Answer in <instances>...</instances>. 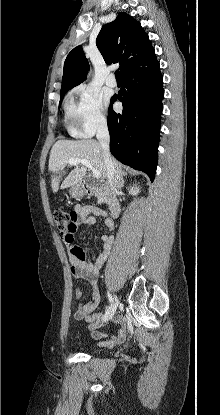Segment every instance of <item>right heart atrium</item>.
Wrapping results in <instances>:
<instances>
[{"label": "right heart atrium", "mask_w": 220, "mask_h": 415, "mask_svg": "<svg viewBox=\"0 0 220 415\" xmlns=\"http://www.w3.org/2000/svg\"><path fill=\"white\" fill-rule=\"evenodd\" d=\"M75 97L67 106L73 132L80 137H89L105 129L107 120L100 95L90 87L79 86L75 90Z\"/></svg>", "instance_id": "1"}]
</instances>
